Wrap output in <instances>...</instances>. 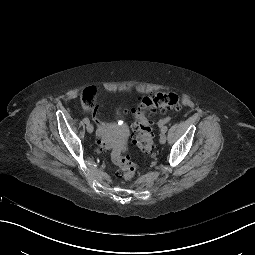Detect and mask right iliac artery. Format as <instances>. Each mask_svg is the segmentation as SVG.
<instances>
[{"mask_svg": "<svg viewBox=\"0 0 255 255\" xmlns=\"http://www.w3.org/2000/svg\"><path fill=\"white\" fill-rule=\"evenodd\" d=\"M83 121L85 124H89V122H90L88 118H84Z\"/></svg>", "mask_w": 255, "mask_h": 255, "instance_id": "82829eb1", "label": "right iliac artery"}]
</instances>
